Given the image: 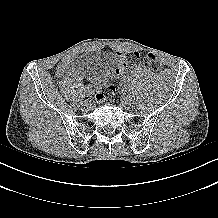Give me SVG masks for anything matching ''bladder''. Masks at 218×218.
Listing matches in <instances>:
<instances>
[{
    "label": "bladder",
    "mask_w": 218,
    "mask_h": 218,
    "mask_svg": "<svg viewBox=\"0 0 218 218\" xmlns=\"http://www.w3.org/2000/svg\"><path fill=\"white\" fill-rule=\"evenodd\" d=\"M82 64L88 76L95 83L102 84L109 77L112 59L108 54L88 55L83 58Z\"/></svg>",
    "instance_id": "31cf9c89"
}]
</instances>
